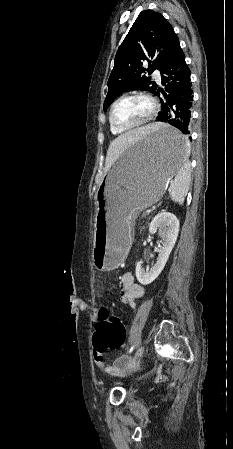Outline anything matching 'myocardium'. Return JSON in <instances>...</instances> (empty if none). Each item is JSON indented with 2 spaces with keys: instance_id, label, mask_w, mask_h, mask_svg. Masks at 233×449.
Returning a JSON list of instances; mask_svg holds the SVG:
<instances>
[{
  "instance_id": "myocardium-1",
  "label": "myocardium",
  "mask_w": 233,
  "mask_h": 449,
  "mask_svg": "<svg viewBox=\"0 0 233 449\" xmlns=\"http://www.w3.org/2000/svg\"><path fill=\"white\" fill-rule=\"evenodd\" d=\"M142 97L144 98L150 105V111L149 114L146 116L145 119H143L142 121L129 125V126H121L118 125L117 123H115L114 119H113V110L116 106V104L121 101L122 99L128 98V97ZM157 112V102L154 99V97H152L150 94H148L147 92H143V91H131V92H127L122 94L121 96H119L111 105L110 109H109V123L110 125L118 130V131H129V130H133V129H137L140 128L146 124H148L155 116Z\"/></svg>"
}]
</instances>
